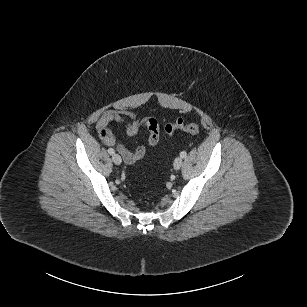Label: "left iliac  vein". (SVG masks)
Instances as JSON below:
<instances>
[{"label":"left iliac vein","mask_w":307,"mask_h":307,"mask_svg":"<svg viewBox=\"0 0 307 307\" xmlns=\"http://www.w3.org/2000/svg\"><path fill=\"white\" fill-rule=\"evenodd\" d=\"M182 163H183V160H182V157H177L175 160H174V168L176 170L180 169L181 166H182Z\"/></svg>","instance_id":"obj_1"}]
</instances>
